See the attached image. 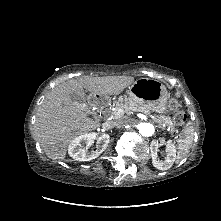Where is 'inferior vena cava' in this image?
<instances>
[{
	"label": "inferior vena cava",
	"mask_w": 221,
	"mask_h": 221,
	"mask_svg": "<svg viewBox=\"0 0 221 221\" xmlns=\"http://www.w3.org/2000/svg\"><path fill=\"white\" fill-rule=\"evenodd\" d=\"M125 124H126V121L124 119L117 120L113 123V125L117 127L124 126Z\"/></svg>",
	"instance_id": "obj_1"
}]
</instances>
